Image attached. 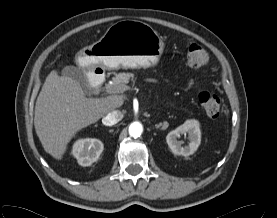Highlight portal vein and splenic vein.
I'll list each match as a JSON object with an SVG mask.
<instances>
[{
	"label": "portal vein and splenic vein",
	"instance_id": "portal-vein-and-splenic-vein-1",
	"mask_svg": "<svg viewBox=\"0 0 277 218\" xmlns=\"http://www.w3.org/2000/svg\"><path fill=\"white\" fill-rule=\"evenodd\" d=\"M106 92H107V93H113L112 90H111V88H109V87L106 88Z\"/></svg>",
	"mask_w": 277,
	"mask_h": 218
}]
</instances>
